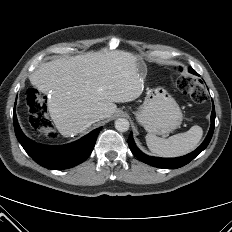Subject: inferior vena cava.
<instances>
[{
    "instance_id": "1",
    "label": "inferior vena cava",
    "mask_w": 232,
    "mask_h": 232,
    "mask_svg": "<svg viewBox=\"0 0 232 232\" xmlns=\"http://www.w3.org/2000/svg\"><path fill=\"white\" fill-rule=\"evenodd\" d=\"M101 118H102V116L99 114H92L90 116V121H91V123H94L96 121H99Z\"/></svg>"
}]
</instances>
